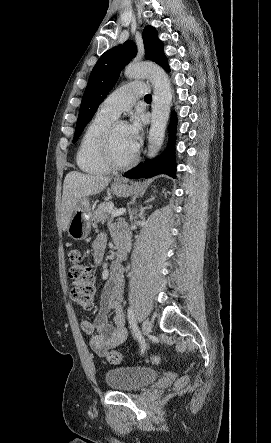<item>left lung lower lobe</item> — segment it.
I'll use <instances>...</instances> for the list:
<instances>
[{
  "label": "left lung lower lobe",
  "instance_id": "left-lung-lower-lobe-1",
  "mask_svg": "<svg viewBox=\"0 0 271 443\" xmlns=\"http://www.w3.org/2000/svg\"><path fill=\"white\" fill-rule=\"evenodd\" d=\"M157 64L162 66L165 70L170 71L167 58L165 54L160 57ZM176 129V116L172 115L170 123V141L165 153L157 160L146 161L144 164L140 163L135 168L129 170L124 174L125 177L136 179L139 177L150 178L158 174H167L173 178L176 177V163L174 155V141Z\"/></svg>",
  "mask_w": 271,
  "mask_h": 443
}]
</instances>
